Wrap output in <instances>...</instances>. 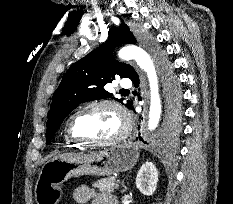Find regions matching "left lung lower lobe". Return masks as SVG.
<instances>
[{"label": "left lung lower lobe", "mask_w": 233, "mask_h": 204, "mask_svg": "<svg viewBox=\"0 0 233 204\" xmlns=\"http://www.w3.org/2000/svg\"><path fill=\"white\" fill-rule=\"evenodd\" d=\"M130 79H131L132 82L134 83L135 87H138V86H139V76H138L137 73H135ZM128 109L134 110V108H133L131 105L128 107ZM168 128H169V130H170L171 132H175V131H176V128L174 127V125H173V124H170L169 122H168ZM139 140H140V141H143V138H142V137H139ZM145 143H146V142H145Z\"/></svg>", "instance_id": "1"}]
</instances>
